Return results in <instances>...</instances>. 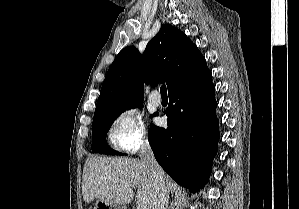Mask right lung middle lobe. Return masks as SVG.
<instances>
[{"label":"right lung middle lobe","mask_w":299,"mask_h":209,"mask_svg":"<svg viewBox=\"0 0 299 209\" xmlns=\"http://www.w3.org/2000/svg\"><path fill=\"white\" fill-rule=\"evenodd\" d=\"M141 104L121 108L118 110H114L111 112H106L102 114L95 115V118L93 119V127H92V152H99L101 154H118L121 155V153H118L112 149L109 148L107 145L105 138L108 130L110 129L112 123L114 120L126 109L129 108H136L140 107Z\"/></svg>","instance_id":"dd1d6c3e"}]
</instances>
